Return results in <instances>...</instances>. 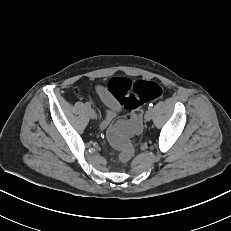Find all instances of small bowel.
I'll use <instances>...</instances> for the list:
<instances>
[{"instance_id":"c3829d8e","label":"small bowel","mask_w":231,"mask_h":231,"mask_svg":"<svg viewBox=\"0 0 231 231\" xmlns=\"http://www.w3.org/2000/svg\"><path fill=\"white\" fill-rule=\"evenodd\" d=\"M97 92L106 106L116 112L121 110L120 104L109 94L106 88L98 87Z\"/></svg>"}]
</instances>
